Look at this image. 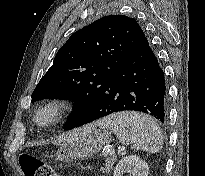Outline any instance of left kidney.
I'll return each mask as SVG.
<instances>
[{
  "instance_id": "1",
  "label": "left kidney",
  "mask_w": 205,
  "mask_h": 176,
  "mask_svg": "<svg viewBox=\"0 0 205 176\" xmlns=\"http://www.w3.org/2000/svg\"><path fill=\"white\" fill-rule=\"evenodd\" d=\"M125 173L129 176H148L149 166L136 155L126 156L117 164L113 176H123Z\"/></svg>"
}]
</instances>
